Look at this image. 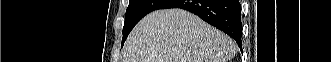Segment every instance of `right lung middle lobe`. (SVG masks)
Masks as SVG:
<instances>
[{"mask_svg": "<svg viewBox=\"0 0 331 62\" xmlns=\"http://www.w3.org/2000/svg\"><path fill=\"white\" fill-rule=\"evenodd\" d=\"M171 0H129L123 27L122 46L130 31L148 13L163 9Z\"/></svg>", "mask_w": 331, "mask_h": 62, "instance_id": "right-lung-middle-lobe-1", "label": "right lung middle lobe"}]
</instances>
